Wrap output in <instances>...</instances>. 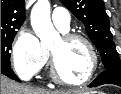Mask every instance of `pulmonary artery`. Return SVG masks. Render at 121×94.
<instances>
[{
    "instance_id": "1",
    "label": "pulmonary artery",
    "mask_w": 121,
    "mask_h": 94,
    "mask_svg": "<svg viewBox=\"0 0 121 94\" xmlns=\"http://www.w3.org/2000/svg\"><path fill=\"white\" fill-rule=\"evenodd\" d=\"M52 21L58 29L66 32L70 25V14L68 10L62 7L55 8L52 13Z\"/></svg>"
}]
</instances>
